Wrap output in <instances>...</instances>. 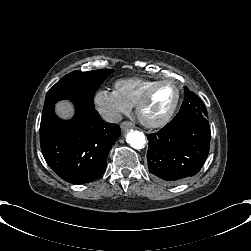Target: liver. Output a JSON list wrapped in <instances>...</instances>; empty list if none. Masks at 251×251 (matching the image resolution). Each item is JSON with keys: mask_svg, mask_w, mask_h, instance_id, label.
I'll list each match as a JSON object with an SVG mask.
<instances>
[{"mask_svg": "<svg viewBox=\"0 0 251 251\" xmlns=\"http://www.w3.org/2000/svg\"><path fill=\"white\" fill-rule=\"evenodd\" d=\"M55 111L63 119L71 118L74 114L73 106L68 101L58 102Z\"/></svg>", "mask_w": 251, "mask_h": 251, "instance_id": "liver-1", "label": "liver"}]
</instances>
